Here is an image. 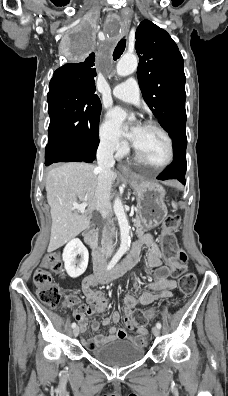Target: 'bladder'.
Segmentation results:
<instances>
[{
  "instance_id": "1",
  "label": "bladder",
  "mask_w": 228,
  "mask_h": 396,
  "mask_svg": "<svg viewBox=\"0 0 228 396\" xmlns=\"http://www.w3.org/2000/svg\"><path fill=\"white\" fill-rule=\"evenodd\" d=\"M97 361L111 367H123L140 361L146 353L142 344L129 340H113L88 351Z\"/></svg>"
}]
</instances>
